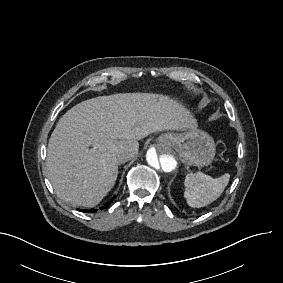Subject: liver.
Instances as JSON below:
<instances>
[{"label": "liver", "instance_id": "liver-1", "mask_svg": "<svg viewBox=\"0 0 283 283\" xmlns=\"http://www.w3.org/2000/svg\"><path fill=\"white\" fill-rule=\"evenodd\" d=\"M197 126L185 106L162 94L88 99L68 110L51 134L46 158L49 180L61 200L94 207L115 184L120 150L138 149V140L154 132Z\"/></svg>", "mask_w": 283, "mask_h": 283}]
</instances>
